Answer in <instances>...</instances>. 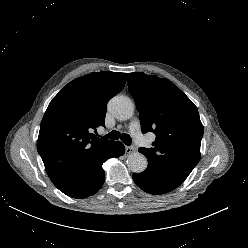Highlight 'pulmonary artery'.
<instances>
[{
	"label": "pulmonary artery",
	"mask_w": 248,
	"mask_h": 248,
	"mask_svg": "<svg viewBox=\"0 0 248 248\" xmlns=\"http://www.w3.org/2000/svg\"><path fill=\"white\" fill-rule=\"evenodd\" d=\"M129 130H130L135 142L138 145L143 146L146 144V139L141 132L139 121H137V120L132 121L129 125Z\"/></svg>",
	"instance_id": "1"
}]
</instances>
